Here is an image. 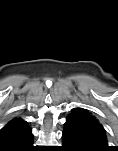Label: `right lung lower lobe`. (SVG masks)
<instances>
[{
    "label": "right lung lower lobe",
    "mask_w": 118,
    "mask_h": 151,
    "mask_svg": "<svg viewBox=\"0 0 118 151\" xmlns=\"http://www.w3.org/2000/svg\"><path fill=\"white\" fill-rule=\"evenodd\" d=\"M35 150L34 146H33V141L31 143H29L28 145H26L25 147L17 150V151H33Z\"/></svg>",
    "instance_id": "right-lung-lower-lobe-1"
}]
</instances>
